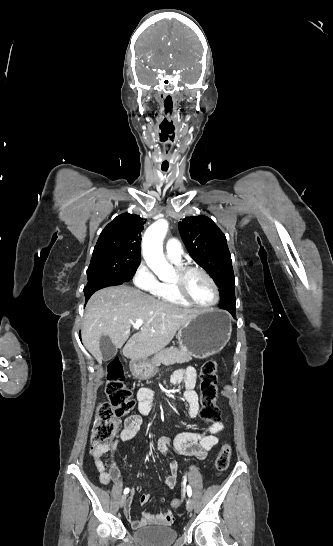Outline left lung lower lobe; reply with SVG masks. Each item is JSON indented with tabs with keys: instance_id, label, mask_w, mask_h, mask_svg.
<instances>
[{
	"instance_id": "obj_1",
	"label": "left lung lower lobe",
	"mask_w": 333,
	"mask_h": 546,
	"mask_svg": "<svg viewBox=\"0 0 333 546\" xmlns=\"http://www.w3.org/2000/svg\"><path fill=\"white\" fill-rule=\"evenodd\" d=\"M229 312H230V313L232 314V316H233V317H235V316H236V314H235V310L231 309V310H229Z\"/></svg>"
}]
</instances>
